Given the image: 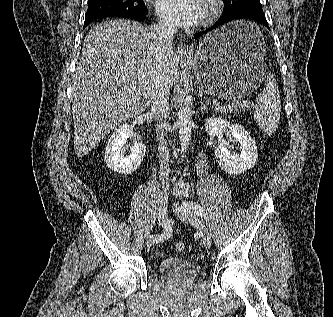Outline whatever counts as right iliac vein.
Wrapping results in <instances>:
<instances>
[{
  "label": "right iliac vein",
  "instance_id": "obj_1",
  "mask_svg": "<svg viewBox=\"0 0 333 317\" xmlns=\"http://www.w3.org/2000/svg\"><path fill=\"white\" fill-rule=\"evenodd\" d=\"M167 203H168V199L167 196L161 195L160 198V203L158 205V209H157V215H158V220H159V225L161 227H165L167 224ZM155 235H151L147 241H146V245L148 247H151L152 245H154L156 242L155 240Z\"/></svg>",
  "mask_w": 333,
  "mask_h": 317
}]
</instances>
